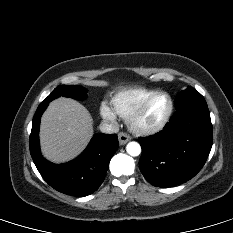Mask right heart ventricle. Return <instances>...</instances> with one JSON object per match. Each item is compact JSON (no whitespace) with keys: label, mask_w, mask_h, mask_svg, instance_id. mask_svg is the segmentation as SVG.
<instances>
[{"label":"right heart ventricle","mask_w":233,"mask_h":233,"mask_svg":"<svg viewBox=\"0 0 233 233\" xmlns=\"http://www.w3.org/2000/svg\"><path fill=\"white\" fill-rule=\"evenodd\" d=\"M154 92L156 90L144 87L122 89L112 96L111 108L116 115L127 119L133 110Z\"/></svg>","instance_id":"right-heart-ventricle-1"}]
</instances>
